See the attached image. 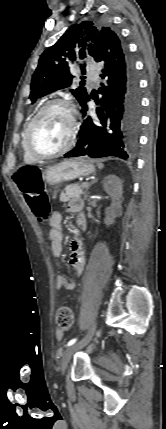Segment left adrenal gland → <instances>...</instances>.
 <instances>
[{
    "mask_svg": "<svg viewBox=\"0 0 166 429\" xmlns=\"http://www.w3.org/2000/svg\"><path fill=\"white\" fill-rule=\"evenodd\" d=\"M96 181H97V179H94V180H92V181L90 182V184H89V185H87V186H86V189H85V192H84V198H85V199L87 198V191H88L89 187H90L93 183H95Z\"/></svg>",
    "mask_w": 166,
    "mask_h": 429,
    "instance_id": "left-adrenal-gland-1",
    "label": "left adrenal gland"
}]
</instances>
